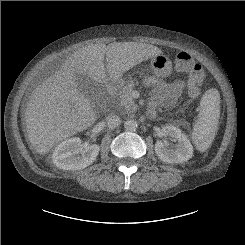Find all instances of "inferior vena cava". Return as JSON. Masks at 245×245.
Segmentation results:
<instances>
[{"label":"inferior vena cava","instance_id":"602c4592","mask_svg":"<svg viewBox=\"0 0 245 245\" xmlns=\"http://www.w3.org/2000/svg\"><path fill=\"white\" fill-rule=\"evenodd\" d=\"M107 125L110 128H117L121 124V119L118 115H111L106 118Z\"/></svg>","mask_w":245,"mask_h":245}]
</instances>
